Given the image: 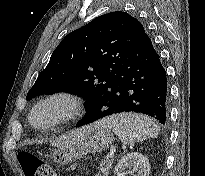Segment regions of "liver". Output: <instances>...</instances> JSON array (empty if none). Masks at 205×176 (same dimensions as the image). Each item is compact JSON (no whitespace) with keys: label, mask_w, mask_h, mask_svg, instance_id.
Masks as SVG:
<instances>
[{"label":"liver","mask_w":205,"mask_h":176,"mask_svg":"<svg viewBox=\"0 0 205 176\" xmlns=\"http://www.w3.org/2000/svg\"><path fill=\"white\" fill-rule=\"evenodd\" d=\"M89 126L80 129H75L63 136H61L57 141L54 142L55 146L58 147H68L82 141L89 131Z\"/></svg>","instance_id":"liver-1"}]
</instances>
